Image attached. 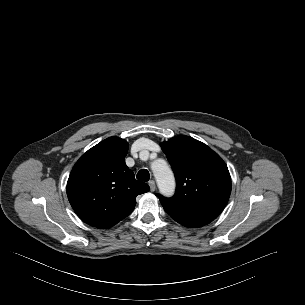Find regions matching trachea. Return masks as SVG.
Returning <instances> with one entry per match:
<instances>
[{
	"mask_svg": "<svg viewBox=\"0 0 305 305\" xmlns=\"http://www.w3.org/2000/svg\"><path fill=\"white\" fill-rule=\"evenodd\" d=\"M136 177H137L138 180H141V181H144V182H147L150 179V175H149V172H148L147 169H141L137 173Z\"/></svg>",
	"mask_w": 305,
	"mask_h": 305,
	"instance_id": "1",
	"label": "trachea"
}]
</instances>
